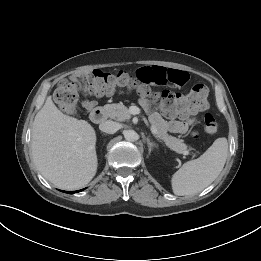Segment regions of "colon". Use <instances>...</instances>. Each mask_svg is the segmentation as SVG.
I'll return each mask as SVG.
<instances>
[{
	"mask_svg": "<svg viewBox=\"0 0 261 261\" xmlns=\"http://www.w3.org/2000/svg\"><path fill=\"white\" fill-rule=\"evenodd\" d=\"M121 89H136L143 96L156 100L167 117L203 111L208 106V89L203 84H195L186 94L169 90L153 93L139 76L134 78L124 71L110 73L98 69L62 80L55 91L54 100L63 112L73 114L77 110L79 91L102 97ZM203 123L207 133L217 132L218 123L212 114H206Z\"/></svg>",
	"mask_w": 261,
	"mask_h": 261,
	"instance_id": "5ec220e1",
	"label": "colon"
}]
</instances>
